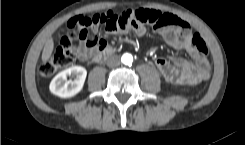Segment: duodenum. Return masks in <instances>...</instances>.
<instances>
[{
    "instance_id": "410a0bca",
    "label": "duodenum",
    "mask_w": 245,
    "mask_h": 145,
    "mask_svg": "<svg viewBox=\"0 0 245 145\" xmlns=\"http://www.w3.org/2000/svg\"><path fill=\"white\" fill-rule=\"evenodd\" d=\"M115 50L112 47H106L104 50L97 51L94 54V62H101L111 57L114 54Z\"/></svg>"
}]
</instances>
